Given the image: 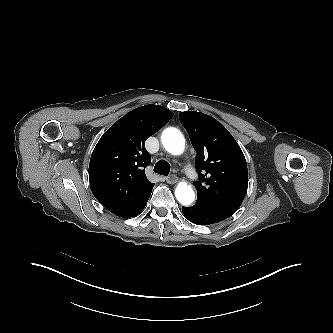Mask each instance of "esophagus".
Returning <instances> with one entry per match:
<instances>
[{
  "label": "esophagus",
  "mask_w": 333,
  "mask_h": 333,
  "mask_svg": "<svg viewBox=\"0 0 333 333\" xmlns=\"http://www.w3.org/2000/svg\"><path fill=\"white\" fill-rule=\"evenodd\" d=\"M166 182L169 184H175L178 182V178L176 175H170L169 177H166Z\"/></svg>",
  "instance_id": "esophagus-1"
}]
</instances>
